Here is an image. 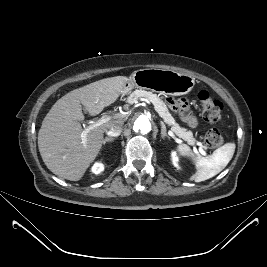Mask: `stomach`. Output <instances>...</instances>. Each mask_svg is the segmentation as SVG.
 Listing matches in <instances>:
<instances>
[{
	"instance_id": "stomach-1",
	"label": "stomach",
	"mask_w": 267,
	"mask_h": 267,
	"mask_svg": "<svg viewBox=\"0 0 267 267\" xmlns=\"http://www.w3.org/2000/svg\"><path fill=\"white\" fill-rule=\"evenodd\" d=\"M195 85V79L187 74L172 70L146 68L135 71L122 91V96L134 87L161 93L180 96L189 93Z\"/></svg>"
}]
</instances>
